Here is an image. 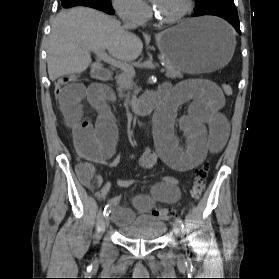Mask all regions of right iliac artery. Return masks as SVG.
<instances>
[{
	"label": "right iliac artery",
	"instance_id": "82829eb1",
	"mask_svg": "<svg viewBox=\"0 0 279 279\" xmlns=\"http://www.w3.org/2000/svg\"><path fill=\"white\" fill-rule=\"evenodd\" d=\"M111 212V208L109 207V205H106L104 208V216L109 215V213Z\"/></svg>",
	"mask_w": 279,
	"mask_h": 279
}]
</instances>
